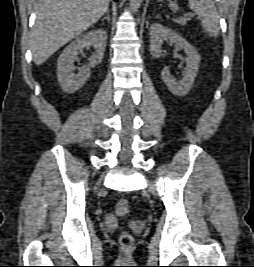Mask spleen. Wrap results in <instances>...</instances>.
Instances as JSON below:
<instances>
[{
  "label": "spleen",
  "instance_id": "1",
  "mask_svg": "<svg viewBox=\"0 0 254 267\" xmlns=\"http://www.w3.org/2000/svg\"><path fill=\"white\" fill-rule=\"evenodd\" d=\"M189 8L199 16L204 31L217 37L220 17L213 0H189Z\"/></svg>",
  "mask_w": 254,
  "mask_h": 267
}]
</instances>
